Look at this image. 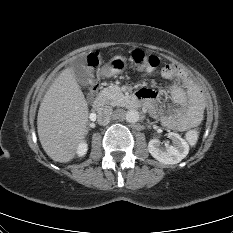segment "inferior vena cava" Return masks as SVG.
Listing matches in <instances>:
<instances>
[{"label":"inferior vena cava","mask_w":233,"mask_h":233,"mask_svg":"<svg viewBox=\"0 0 233 233\" xmlns=\"http://www.w3.org/2000/svg\"><path fill=\"white\" fill-rule=\"evenodd\" d=\"M116 114L110 106H104L98 110L97 121L100 125H107L112 118H115Z\"/></svg>","instance_id":"1"}]
</instances>
